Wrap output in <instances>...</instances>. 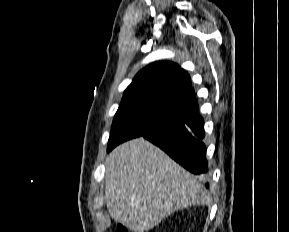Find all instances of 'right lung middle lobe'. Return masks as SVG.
Listing matches in <instances>:
<instances>
[{
  "instance_id": "obj_1",
  "label": "right lung middle lobe",
  "mask_w": 289,
  "mask_h": 232,
  "mask_svg": "<svg viewBox=\"0 0 289 232\" xmlns=\"http://www.w3.org/2000/svg\"><path fill=\"white\" fill-rule=\"evenodd\" d=\"M182 114L179 110L152 102L122 100L113 120L107 152L128 139L142 136L178 119Z\"/></svg>"
}]
</instances>
